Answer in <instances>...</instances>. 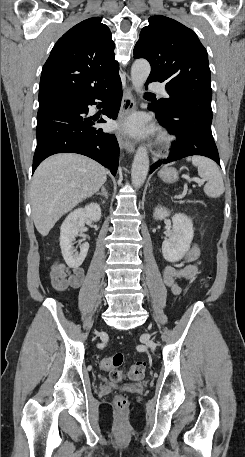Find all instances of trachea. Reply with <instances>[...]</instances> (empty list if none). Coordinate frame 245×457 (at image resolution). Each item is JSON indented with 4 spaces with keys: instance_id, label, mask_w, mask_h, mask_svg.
<instances>
[{
    "instance_id": "obj_1",
    "label": "trachea",
    "mask_w": 245,
    "mask_h": 457,
    "mask_svg": "<svg viewBox=\"0 0 245 457\" xmlns=\"http://www.w3.org/2000/svg\"><path fill=\"white\" fill-rule=\"evenodd\" d=\"M147 95H153V94H150V92H146Z\"/></svg>"
}]
</instances>
